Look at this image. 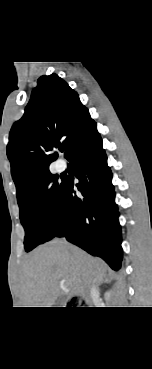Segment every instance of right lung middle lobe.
<instances>
[{
  "label": "right lung middle lobe",
  "instance_id": "dd1d6c3e",
  "mask_svg": "<svg viewBox=\"0 0 152 369\" xmlns=\"http://www.w3.org/2000/svg\"><path fill=\"white\" fill-rule=\"evenodd\" d=\"M58 178V175L46 174L17 199L21 224L25 229L26 252L49 241L56 232L59 200L64 186V180L58 183Z\"/></svg>",
  "mask_w": 152,
  "mask_h": 369
}]
</instances>
